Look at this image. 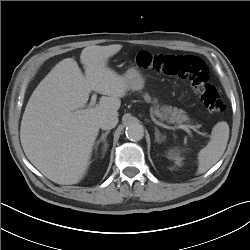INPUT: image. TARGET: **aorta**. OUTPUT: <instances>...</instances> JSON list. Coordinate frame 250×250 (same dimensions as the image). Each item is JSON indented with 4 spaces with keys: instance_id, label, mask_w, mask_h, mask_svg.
I'll return each instance as SVG.
<instances>
[{
    "instance_id": "1",
    "label": "aorta",
    "mask_w": 250,
    "mask_h": 250,
    "mask_svg": "<svg viewBox=\"0 0 250 250\" xmlns=\"http://www.w3.org/2000/svg\"><path fill=\"white\" fill-rule=\"evenodd\" d=\"M126 136L131 141H139L144 137V128L138 122L129 123L126 127Z\"/></svg>"
}]
</instances>
